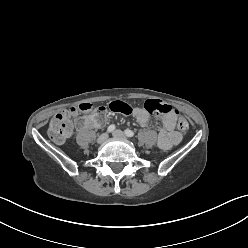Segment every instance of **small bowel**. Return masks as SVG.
<instances>
[{
	"label": "small bowel",
	"instance_id": "small-bowel-1",
	"mask_svg": "<svg viewBox=\"0 0 248 248\" xmlns=\"http://www.w3.org/2000/svg\"><path fill=\"white\" fill-rule=\"evenodd\" d=\"M132 114L140 126L146 127L149 124V115L144 109L134 108ZM176 120L177 114L174 111L162 117L163 127L158 131V145L163 150L171 149L180 141V135L174 131Z\"/></svg>",
	"mask_w": 248,
	"mask_h": 248
}]
</instances>
